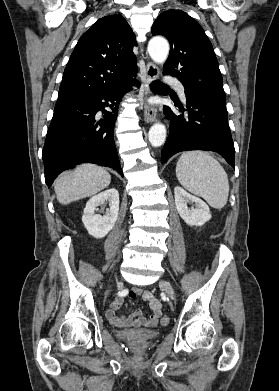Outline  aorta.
I'll return each mask as SVG.
<instances>
[{
    "label": "aorta",
    "mask_w": 279,
    "mask_h": 391,
    "mask_svg": "<svg viewBox=\"0 0 279 391\" xmlns=\"http://www.w3.org/2000/svg\"><path fill=\"white\" fill-rule=\"evenodd\" d=\"M148 52L155 63L163 64L169 54V43L162 37H154L148 43ZM148 139L153 147L161 146L166 139L165 126L155 123L149 130Z\"/></svg>",
    "instance_id": "762f6f07"
}]
</instances>
